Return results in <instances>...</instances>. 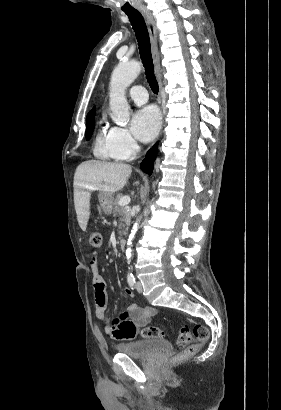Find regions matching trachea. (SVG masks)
<instances>
[{
    "label": "trachea",
    "instance_id": "1",
    "mask_svg": "<svg viewBox=\"0 0 281 410\" xmlns=\"http://www.w3.org/2000/svg\"><path fill=\"white\" fill-rule=\"evenodd\" d=\"M126 15L128 16L137 37L140 56L145 68V75L148 83L151 90L155 94H158L159 86L154 75L150 38L144 18L139 11L127 12Z\"/></svg>",
    "mask_w": 281,
    "mask_h": 410
}]
</instances>
